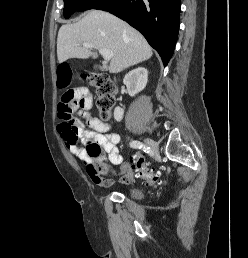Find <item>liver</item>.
I'll list each match as a JSON object with an SVG mask.
<instances>
[{
    "instance_id": "obj_1",
    "label": "liver",
    "mask_w": 248,
    "mask_h": 258,
    "mask_svg": "<svg viewBox=\"0 0 248 258\" xmlns=\"http://www.w3.org/2000/svg\"><path fill=\"white\" fill-rule=\"evenodd\" d=\"M82 43H90L96 49H106L113 54L108 68L110 73H119L148 60L153 54L146 39L136 29L99 10H91L77 23L60 28L57 38L59 63L70 58L96 59L97 53L83 47Z\"/></svg>"
}]
</instances>
